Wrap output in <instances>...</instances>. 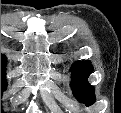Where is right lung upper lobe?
I'll use <instances>...</instances> for the list:
<instances>
[{"instance_id": "right-lung-upper-lobe-1", "label": "right lung upper lobe", "mask_w": 121, "mask_h": 113, "mask_svg": "<svg viewBox=\"0 0 121 113\" xmlns=\"http://www.w3.org/2000/svg\"><path fill=\"white\" fill-rule=\"evenodd\" d=\"M5 65H6L5 57L1 55V67L5 68Z\"/></svg>"}]
</instances>
